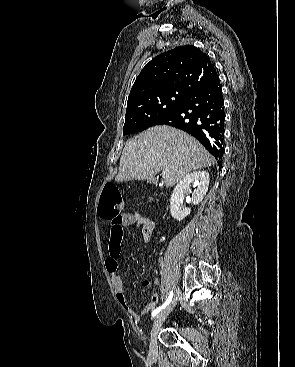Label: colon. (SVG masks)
I'll return each instance as SVG.
<instances>
[{
    "label": "colon",
    "mask_w": 295,
    "mask_h": 367,
    "mask_svg": "<svg viewBox=\"0 0 295 367\" xmlns=\"http://www.w3.org/2000/svg\"><path fill=\"white\" fill-rule=\"evenodd\" d=\"M101 215L110 221H118L125 208V200L118 187L113 183L104 186L101 195Z\"/></svg>",
    "instance_id": "5ec220e1"
}]
</instances>
